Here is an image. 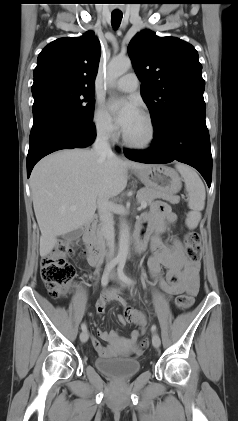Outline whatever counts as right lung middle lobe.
Masks as SVG:
<instances>
[{"label": "right lung middle lobe", "mask_w": 238, "mask_h": 421, "mask_svg": "<svg viewBox=\"0 0 238 421\" xmlns=\"http://www.w3.org/2000/svg\"><path fill=\"white\" fill-rule=\"evenodd\" d=\"M33 106L42 103L56 104L78 119L93 121L94 90L75 87L59 82H45L32 86Z\"/></svg>", "instance_id": "dd1d6c3e"}]
</instances>
